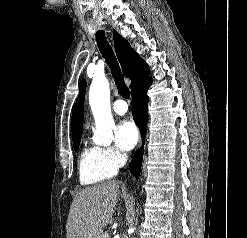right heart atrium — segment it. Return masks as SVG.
<instances>
[{"label": "right heart atrium", "mask_w": 247, "mask_h": 238, "mask_svg": "<svg viewBox=\"0 0 247 238\" xmlns=\"http://www.w3.org/2000/svg\"><path fill=\"white\" fill-rule=\"evenodd\" d=\"M104 153L108 162L115 168H119L124 163V156L114 147H105Z\"/></svg>", "instance_id": "d8ad5b80"}]
</instances>
